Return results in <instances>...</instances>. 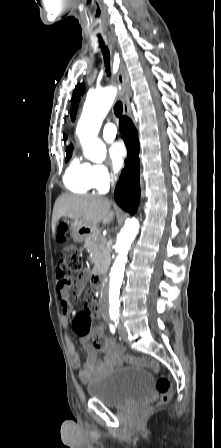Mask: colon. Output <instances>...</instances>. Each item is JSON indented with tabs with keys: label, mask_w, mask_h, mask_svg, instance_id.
<instances>
[{
	"label": "colon",
	"mask_w": 221,
	"mask_h": 448,
	"mask_svg": "<svg viewBox=\"0 0 221 448\" xmlns=\"http://www.w3.org/2000/svg\"><path fill=\"white\" fill-rule=\"evenodd\" d=\"M58 236L61 240H67L69 238V234L65 227L60 226L58 230ZM80 269V263L78 259L77 252L74 248L70 246H66L62 253L61 257L58 261L57 273H56V281L57 287L60 290L65 289L67 286L71 284V274L72 272L78 271ZM92 308L96 306L95 300L92 296L87 297ZM89 329V326L88 328ZM124 362L130 365L147 367L150 368L154 373H158L159 365L156 361L152 359H143L134 357L132 355H125ZM156 390L160 395V403L166 404L170 401L172 392H171V383L170 380L165 376H160L156 380ZM154 411V407H148L143 411V416H148Z\"/></svg>",
	"instance_id": "5ec220e1"
}]
</instances>
